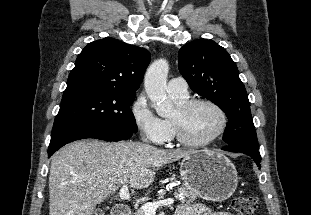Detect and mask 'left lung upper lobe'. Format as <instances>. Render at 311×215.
Listing matches in <instances>:
<instances>
[{
	"instance_id": "5c2ea615",
	"label": "left lung upper lobe",
	"mask_w": 311,
	"mask_h": 215,
	"mask_svg": "<svg viewBox=\"0 0 311 215\" xmlns=\"http://www.w3.org/2000/svg\"><path fill=\"white\" fill-rule=\"evenodd\" d=\"M178 65L190 88L226 113L223 140L258 149L248 95L228 52L212 40H195L179 50Z\"/></svg>"
}]
</instances>
